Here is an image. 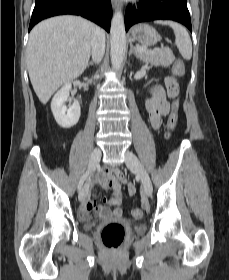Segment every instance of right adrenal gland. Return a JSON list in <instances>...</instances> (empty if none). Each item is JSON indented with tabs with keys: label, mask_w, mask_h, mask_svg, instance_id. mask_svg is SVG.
Wrapping results in <instances>:
<instances>
[{
	"label": "right adrenal gland",
	"mask_w": 229,
	"mask_h": 280,
	"mask_svg": "<svg viewBox=\"0 0 229 280\" xmlns=\"http://www.w3.org/2000/svg\"><path fill=\"white\" fill-rule=\"evenodd\" d=\"M93 64H94V62H93V61H91V62H89V63L87 64V67H89V66H93Z\"/></svg>",
	"instance_id": "1"
}]
</instances>
